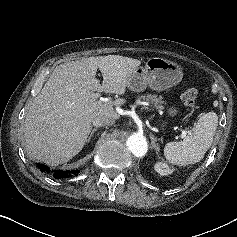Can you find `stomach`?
Segmentation results:
<instances>
[{
  "label": "stomach",
  "mask_w": 237,
  "mask_h": 237,
  "mask_svg": "<svg viewBox=\"0 0 237 237\" xmlns=\"http://www.w3.org/2000/svg\"><path fill=\"white\" fill-rule=\"evenodd\" d=\"M183 77L181 68L164 58L152 57L146 62L145 67L136 68L129 76L127 87L134 92L144 91L147 86L156 91L165 90L180 82ZM176 107L168 109V115L175 116ZM165 122L161 127L164 128Z\"/></svg>",
  "instance_id": "obj_1"
}]
</instances>
